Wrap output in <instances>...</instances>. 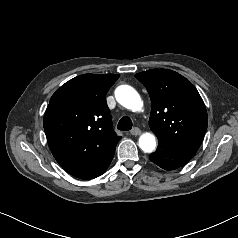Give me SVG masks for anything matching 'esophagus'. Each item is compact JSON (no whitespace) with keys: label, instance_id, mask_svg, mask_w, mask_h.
<instances>
[{"label":"esophagus","instance_id":"obj_1","mask_svg":"<svg viewBox=\"0 0 238 238\" xmlns=\"http://www.w3.org/2000/svg\"><path fill=\"white\" fill-rule=\"evenodd\" d=\"M130 134L133 135V136H137V135H140L141 134V130L139 128H133L131 131H130Z\"/></svg>","mask_w":238,"mask_h":238}]
</instances>
